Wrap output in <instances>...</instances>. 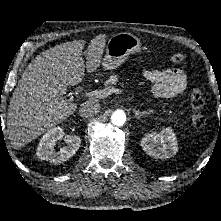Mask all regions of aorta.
<instances>
[{
	"instance_id": "1",
	"label": "aorta",
	"mask_w": 221,
	"mask_h": 221,
	"mask_svg": "<svg viewBox=\"0 0 221 221\" xmlns=\"http://www.w3.org/2000/svg\"><path fill=\"white\" fill-rule=\"evenodd\" d=\"M111 122L115 126H123L126 122V114L122 110H116L111 116Z\"/></svg>"
}]
</instances>
